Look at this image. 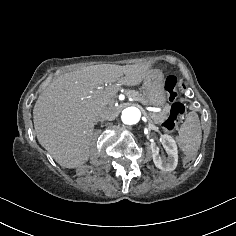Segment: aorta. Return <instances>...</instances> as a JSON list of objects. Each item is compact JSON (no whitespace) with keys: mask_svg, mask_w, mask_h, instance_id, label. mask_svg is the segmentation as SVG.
Segmentation results:
<instances>
[{"mask_svg":"<svg viewBox=\"0 0 236 236\" xmlns=\"http://www.w3.org/2000/svg\"><path fill=\"white\" fill-rule=\"evenodd\" d=\"M141 119V111L137 107H127L122 111L121 120L124 124H137Z\"/></svg>","mask_w":236,"mask_h":236,"instance_id":"1","label":"aorta"}]
</instances>
